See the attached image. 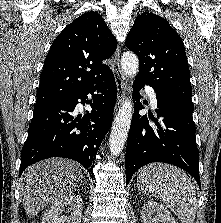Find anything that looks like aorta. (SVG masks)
<instances>
[{
  "mask_svg": "<svg viewBox=\"0 0 221 223\" xmlns=\"http://www.w3.org/2000/svg\"><path fill=\"white\" fill-rule=\"evenodd\" d=\"M121 68L127 77H135L139 70L138 57L132 52H126L121 57ZM133 114L132 100H125L119 109L110 133L109 149L111 155L118 156L127 140Z\"/></svg>",
  "mask_w": 221,
  "mask_h": 223,
  "instance_id": "obj_1",
  "label": "aorta"
}]
</instances>
